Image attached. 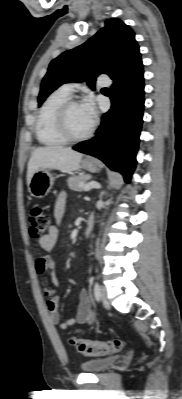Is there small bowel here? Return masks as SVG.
<instances>
[{
  "mask_svg": "<svg viewBox=\"0 0 182 399\" xmlns=\"http://www.w3.org/2000/svg\"><path fill=\"white\" fill-rule=\"evenodd\" d=\"M67 195L62 192L58 195L54 206V218L60 222L66 209ZM59 237L57 225H52L47 234L39 239V253L35 262V270L38 276L50 275L51 284L45 285L44 294L47 297V309L52 322L60 329L66 330L75 323L88 324L94 320V313L89 295L85 289L80 293L77 314L74 319L61 321L59 313V297L55 293L59 281L55 274V265L52 256L49 254L55 247Z\"/></svg>",
  "mask_w": 182,
  "mask_h": 399,
  "instance_id": "c3829d8e",
  "label": "small bowel"
}]
</instances>
